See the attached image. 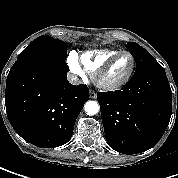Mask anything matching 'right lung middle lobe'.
Returning <instances> with one entry per match:
<instances>
[{
  "label": "right lung middle lobe",
  "instance_id": "right-lung-middle-lobe-1",
  "mask_svg": "<svg viewBox=\"0 0 178 178\" xmlns=\"http://www.w3.org/2000/svg\"><path fill=\"white\" fill-rule=\"evenodd\" d=\"M67 57L65 42L54 39L48 35H42L33 40L17 57V61L24 60H61Z\"/></svg>",
  "mask_w": 178,
  "mask_h": 178
}]
</instances>
